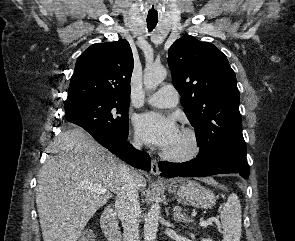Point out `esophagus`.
Instances as JSON below:
<instances>
[{"label": "esophagus", "mask_w": 295, "mask_h": 241, "mask_svg": "<svg viewBox=\"0 0 295 241\" xmlns=\"http://www.w3.org/2000/svg\"><path fill=\"white\" fill-rule=\"evenodd\" d=\"M151 174L154 175V176H159L160 175L158 162L155 159L151 160Z\"/></svg>", "instance_id": "34e87169"}]
</instances>
